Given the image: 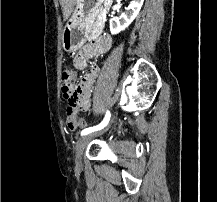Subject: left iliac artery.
<instances>
[{
  "label": "left iliac artery",
  "mask_w": 217,
  "mask_h": 202,
  "mask_svg": "<svg viewBox=\"0 0 217 202\" xmlns=\"http://www.w3.org/2000/svg\"><path fill=\"white\" fill-rule=\"evenodd\" d=\"M110 117H111V114L107 110L106 115H105L103 121L99 125H97V126L89 127V128H86V129L82 130L81 131V136L87 135V134H89L91 132L103 129L109 123Z\"/></svg>",
  "instance_id": "left-iliac-artery-1"
}]
</instances>
